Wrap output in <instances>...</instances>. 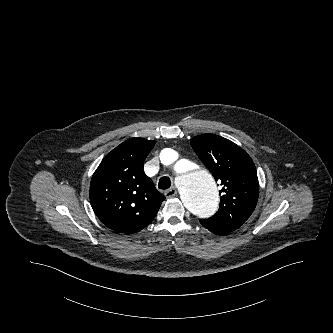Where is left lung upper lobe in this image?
I'll return each mask as SVG.
<instances>
[{
    "mask_svg": "<svg viewBox=\"0 0 333 333\" xmlns=\"http://www.w3.org/2000/svg\"><path fill=\"white\" fill-rule=\"evenodd\" d=\"M191 146L222 186L219 210L200 220L201 224L225 233L238 229L254 211L259 196L252 159L230 140L214 134L192 138Z\"/></svg>",
    "mask_w": 333,
    "mask_h": 333,
    "instance_id": "obj_1",
    "label": "left lung upper lobe"
}]
</instances>
